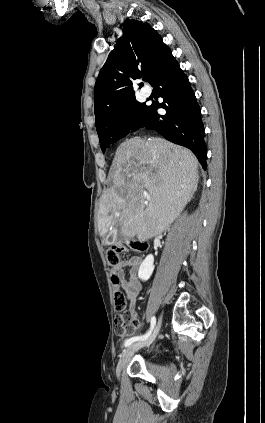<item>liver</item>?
Returning <instances> with one entry per match:
<instances>
[{
  "label": "liver",
  "mask_w": 265,
  "mask_h": 423,
  "mask_svg": "<svg viewBox=\"0 0 265 423\" xmlns=\"http://www.w3.org/2000/svg\"><path fill=\"white\" fill-rule=\"evenodd\" d=\"M110 177L113 185L100 198V236L118 222L122 236L146 240L166 230L192 199L198 160L189 149L164 139L135 137L117 148Z\"/></svg>",
  "instance_id": "obj_1"
}]
</instances>
